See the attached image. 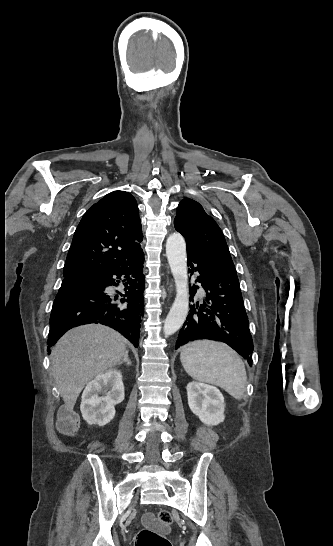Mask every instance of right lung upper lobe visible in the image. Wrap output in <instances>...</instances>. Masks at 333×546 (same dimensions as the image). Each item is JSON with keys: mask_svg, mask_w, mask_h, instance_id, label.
<instances>
[{"mask_svg": "<svg viewBox=\"0 0 333 546\" xmlns=\"http://www.w3.org/2000/svg\"><path fill=\"white\" fill-rule=\"evenodd\" d=\"M141 220L135 198L113 191L83 215L64 265V278L121 266L142 253Z\"/></svg>", "mask_w": 333, "mask_h": 546, "instance_id": "obj_1", "label": "right lung upper lobe"}]
</instances>
